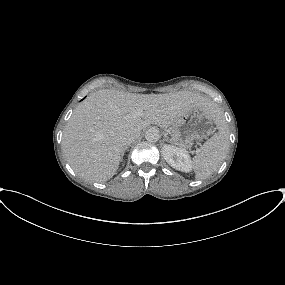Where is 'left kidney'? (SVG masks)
I'll list each match as a JSON object with an SVG mask.
<instances>
[{
  "label": "left kidney",
  "instance_id": "1",
  "mask_svg": "<svg viewBox=\"0 0 285 285\" xmlns=\"http://www.w3.org/2000/svg\"><path fill=\"white\" fill-rule=\"evenodd\" d=\"M161 152L166 162L174 169L182 172L191 171V159L185 149H180L172 145H164Z\"/></svg>",
  "mask_w": 285,
  "mask_h": 285
}]
</instances>
